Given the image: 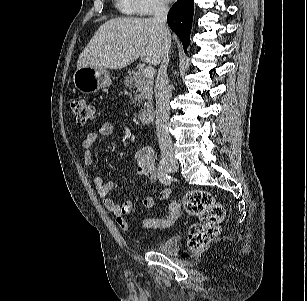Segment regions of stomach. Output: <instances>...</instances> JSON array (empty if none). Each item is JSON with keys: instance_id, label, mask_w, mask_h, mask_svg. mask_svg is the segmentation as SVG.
<instances>
[{"instance_id": "obj_1", "label": "stomach", "mask_w": 307, "mask_h": 301, "mask_svg": "<svg viewBox=\"0 0 307 301\" xmlns=\"http://www.w3.org/2000/svg\"><path fill=\"white\" fill-rule=\"evenodd\" d=\"M73 83L80 92L91 94L110 86L112 80L106 68L82 67L75 71Z\"/></svg>"}]
</instances>
